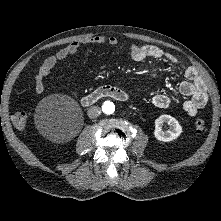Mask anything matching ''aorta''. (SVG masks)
Returning <instances> with one entry per match:
<instances>
[{
    "instance_id": "aorta-1",
    "label": "aorta",
    "mask_w": 221,
    "mask_h": 221,
    "mask_svg": "<svg viewBox=\"0 0 221 221\" xmlns=\"http://www.w3.org/2000/svg\"><path fill=\"white\" fill-rule=\"evenodd\" d=\"M104 111L107 114H112L114 112V105L111 102H107L104 106Z\"/></svg>"
}]
</instances>
